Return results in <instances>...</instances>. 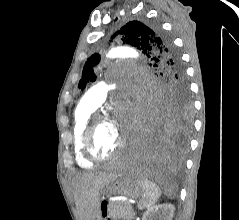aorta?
I'll use <instances>...</instances> for the list:
<instances>
[{
  "label": "aorta",
  "instance_id": "1",
  "mask_svg": "<svg viewBox=\"0 0 239 220\" xmlns=\"http://www.w3.org/2000/svg\"><path fill=\"white\" fill-rule=\"evenodd\" d=\"M124 54V61H132V51H125L124 53L121 47L112 48L108 53V57H120ZM137 55H140V52H137Z\"/></svg>",
  "mask_w": 239,
  "mask_h": 220
}]
</instances>
